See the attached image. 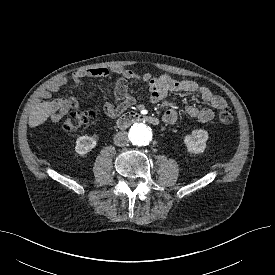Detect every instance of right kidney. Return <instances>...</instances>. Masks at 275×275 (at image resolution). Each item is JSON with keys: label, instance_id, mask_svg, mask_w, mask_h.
Listing matches in <instances>:
<instances>
[{"label": "right kidney", "instance_id": "obj_1", "mask_svg": "<svg viewBox=\"0 0 275 275\" xmlns=\"http://www.w3.org/2000/svg\"><path fill=\"white\" fill-rule=\"evenodd\" d=\"M97 142L94 138L89 136H81L76 140L75 151L80 155H85L90 152Z\"/></svg>", "mask_w": 275, "mask_h": 275}]
</instances>
